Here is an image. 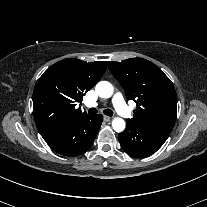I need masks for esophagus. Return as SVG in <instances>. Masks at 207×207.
<instances>
[{
  "label": "esophagus",
  "mask_w": 207,
  "mask_h": 207,
  "mask_svg": "<svg viewBox=\"0 0 207 207\" xmlns=\"http://www.w3.org/2000/svg\"><path fill=\"white\" fill-rule=\"evenodd\" d=\"M103 118H104V121H110L111 120V117H109L107 115H104Z\"/></svg>",
  "instance_id": "1"
}]
</instances>
